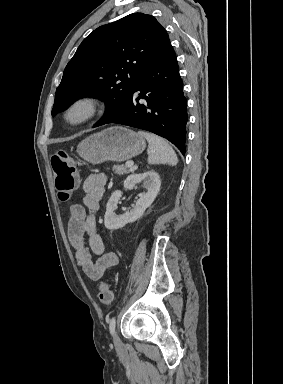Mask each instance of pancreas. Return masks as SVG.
<instances>
[{
	"label": "pancreas",
	"mask_w": 283,
	"mask_h": 384,
	"mask_svg": "<svg viewBox=\"0 0 283 384\" xmlns=\"http://www.w3.org/2000/svg\"><path fill=\"white\" fill-rule=\"evenodd\" d=\"M113 170L115 174H119V176H122V174H126V172H128V168H126V166H113Z\"/></svg>",
	"instance_id": "cf45deb5"
}]
</instances>
